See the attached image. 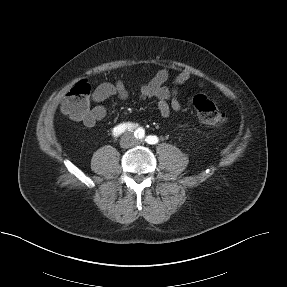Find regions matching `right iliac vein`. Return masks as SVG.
Wrapping results in <instances>:
<instances>
[{"label":"right iliac vein","instance_id":"obj_1","mask_svg":"<svg viewBox=\"0 0 287 287\" xmlns=\"http://www.w3.org/2000/svg\"><path fill=\"white\" fill-rule=\"evenodd\" d=\"M131 136L130 135H126L124 136L121 141H120V145L122 147H128L131 144Z\"/></svg>","mask_w":287,"mask_h":287}]
</instances>
